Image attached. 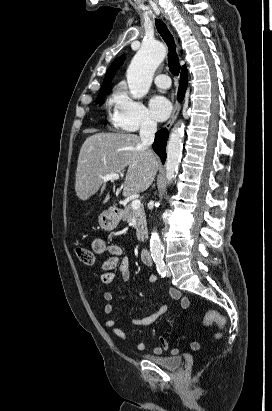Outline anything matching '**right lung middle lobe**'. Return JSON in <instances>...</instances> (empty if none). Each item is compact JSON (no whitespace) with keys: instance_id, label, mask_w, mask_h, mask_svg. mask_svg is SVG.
I'll return each mask as SVG.
<instances>
[{"instance_id":"right-lung-middle-lobe-1","label":"right lung middle lobe","mask_w":272,"mask_h":411,"mask_svg":"<svg viewBox=\"0 0 272 411\" xmlns=\"http://www.w3.org/2000/svg\"><path fill=\"white\" fill-rule=\"evenodd\" d=\"M108 86H106L104 89L100 90L99 95L96 99V103L102 105L104 103V98L107 94Z\"/></svg>"}]
</instances>
